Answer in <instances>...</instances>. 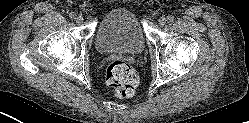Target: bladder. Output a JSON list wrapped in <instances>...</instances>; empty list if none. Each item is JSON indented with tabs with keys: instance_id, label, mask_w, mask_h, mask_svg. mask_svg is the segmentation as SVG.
Here are the masks:
<instances>
[{
	"instance_id": "bladder-1",
	"label": "bladder",
	"mask_w": 249,
	"mask_h": 123,
	"mask_svg": "<svg viewBox=\"0 0 249 123\" xmlns=\"http://www.w3.org/2000/svg\"><path fill=\"white\" fill-rule=\"evenodd\" d=\"M147 36L136 10L121 5L109 12L95 33V47L100 53L123 52L135 54L144 50Z\"/></svg>"
}]
</instances>
